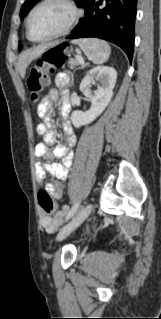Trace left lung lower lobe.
Returning <instances> with one entry per match:
<instances>
[{"instance_id":"left-lung-lower-lobe-1","label":"left lung lower lobe","mask_w":161,"mask_h":319,"mask_svg":"<svg viewBox=\"0 0 161 319\" xmlns=\"http://www.w3.org/2000/svg\"><path fill=\"white\" fill-rule=\"evenodd\" d=\"M137 0H89L85 17L66 39L96 37L118 45L132 61Z\"/></svg>"}]
</instances>
